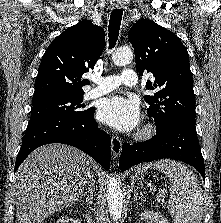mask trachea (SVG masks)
<instances>
[{"instance_id":"obj_1","label":"trachea","mask_w":221,"mask_h":223,"mask_svg":"<svg viewBox=\"0 0 221 223\" xmlns=\"http://www.w3.org/2000/svg\"><path fill=\"white\" fill-rule=\"evenodd\" d=\"M123 11L121 9H115L111 12L109 20V49H112L119 36L120 24L122 20Z\"/></svg>"}]
</instances>
